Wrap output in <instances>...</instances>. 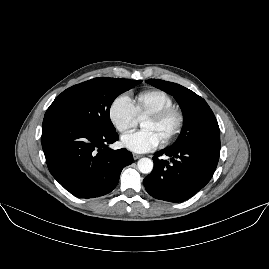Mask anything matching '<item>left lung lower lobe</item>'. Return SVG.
<instances>
[{
  "instance_id": "left-lung-lower-lobe-1",
  "label": "left lung lower lobe",
  "mask_w": 269,
  "mask_h": 269,
  "mask_svg": "<svg viewBox=\"0 0 269 269\" xmlns=\"http://www.w3.org/2000/svg\"><path fill=\"white\" fill-rule=\"evenodd\" d=\"M220 150L210 146H170L153 157V171L145 177L146 191L154 198L183 202L200 191L217 167ZM169 156L170 162L159 159Z\"/></svg>"
}]
</instances>
